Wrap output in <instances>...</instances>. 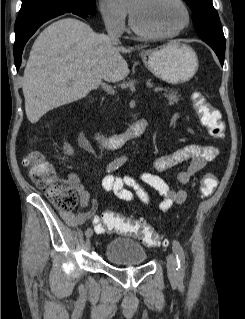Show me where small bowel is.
<instances>
[{
  "instance_id": "obj_1",
  "label": "small bowel",
  "mask_w": 245,
  "mask_h": 319,
  "mask_svg": "<svg viewBox=\"0 0 245 319\" xmlns=\"http://www.w3.org/2000/svg\"><path fill=\"white\" fill-rule=\"evenodd\" d=\"M218 154V149L210 145L186 144L169 154L156 157L152 165L156 172H166L177 165L184 164L185 169L177 174L176 179L179 184H187L197 172L202 170ZM69 181L79 195V209L75 213L60 211L61 218L72 227L89 221L96 233H108L100 217L95 213L97 208L95 201L92 202V208L89 212H82L89 204L90 195L79 178L72 174L69 176ZM142 184L150 186L163 196V200L159 204L162 211L170 209L173 205L182 204L187 198L184 189L174 188L163 177L153 172H141L137 178L106 176L102 182L103 188L119 200L130 204L139 202L148 207L151 205V199Z\"/></svg>"
}]
</instances>
